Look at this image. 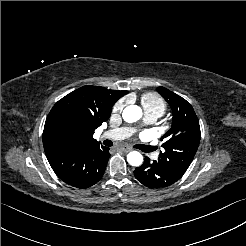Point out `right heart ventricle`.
Segmentation results:
<instances>
[{
    "mask_svg": "<svg viewBox=\"0 0 246 246\" xmlns=\"http://www.w3.org/2000/svg\"><path fill=\"white\" fill-rule=\"evenodd\" d=\"M141 104L146 114L162 116L167 110V101L156 92H145L140 96Z\"/></svg>",
    "mask_w": 246,
    "mask_h": 246,
    "instance_id": "right-heart-ventricle-1",
    "label": "right heart ventricle"
}]
</instances>
